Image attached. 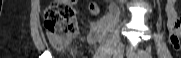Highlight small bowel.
Returning a JSON list of instances; mask_svg holds the SVG:
<instances>
[{"label":"small bowel","instance_id":"1","mask_svg":"<svg viewBox=\"0 0 181 58\" xmlns=\"http://www.w3.org/2000/svg\"><path fill=\"white\" fill-rule=\"evenodd\" d=\"M89 11L93 14L99 12L98 6L90 2L88 4ZM166 13H167V27L169 31V39L170 43L175 49L181 48V16L177 10V1L176 0H169L166 6ZM89 41L91 43L95 42V35L91 34Z\"/></svg>","mask_w":181,"mask_h":58}]
</instances>
